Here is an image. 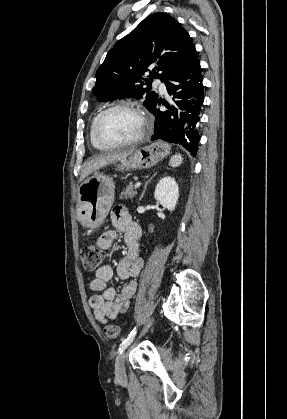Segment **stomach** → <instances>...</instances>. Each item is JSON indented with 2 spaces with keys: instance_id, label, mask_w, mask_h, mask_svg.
I'll use <instances>...</instances> for the list:
<instances>
[{
  "instance_id": "0dacf381",
  "label": "stomach",
  "mask_w": 287,
  "mask_h": 419,
  "mask_svg": "<svg viewBox=\"0 0 287 419\" xmlns=\"http://www.w3.org/2000/svg\"><path fill=\"white\" fill-rule=\"evenodd\" d=\"M170 145L155 141L133 151L128 158L120 160L118 170L148 169L170 153ZM113 179L96 172L87 178L78 189L77 216L89 228H98L109 213L114 201Z\"/></svg>"
}]
</instances>
